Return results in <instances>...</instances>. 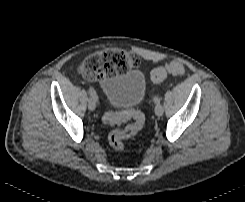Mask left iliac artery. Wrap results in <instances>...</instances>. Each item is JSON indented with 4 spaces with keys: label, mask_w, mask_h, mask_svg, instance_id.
Instances as JSON below:
<instances>
[{
    "label": "left iliac artery",
    "mask_w": 245,
    "mask_h": 202,
    "mask_svg": "<svg viewBox=\"0 0 245 202\" xmlns=\"http://www.w3.org/2000/svg\"><path fill=\"white\" fill-rule=\"evenodd\" d=\"M153 102H154L156 105H158V104H160V102H161V98H160L159 96H154Z\"/></svg>",
    "instance_id": "obj_1"
}]
</instances>
